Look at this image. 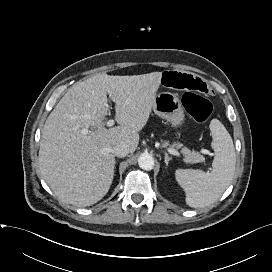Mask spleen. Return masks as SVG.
I'll list each match as a JSON object with an SVG mask.
<instances>
[{
  "label": "spleen",
  "instance_id": "obj_1",
  "mask_svg": "<svg viewBox=\"0 0 272 272\" xmlns=\"http://www.w3.org/2000/svg\"><path fill=\"white\" fill-rule=\"evenodd\" d=\"M210 130L215 152L212 170L178 169L175 172L177 182L185 191L186 203L193 208H202L218 200L235 172L236 153L230 134L218 119L210 122Z\"/></svg>",
  "mask_w": 272,
  "mask_h": 272
}]
</instances>
